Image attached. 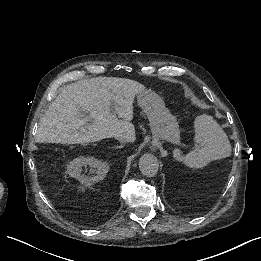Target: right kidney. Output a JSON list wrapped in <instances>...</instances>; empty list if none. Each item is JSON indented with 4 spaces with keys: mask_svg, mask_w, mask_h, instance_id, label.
I'll return each mask as SVG.
<instances>
[{
    "mask_svg": "<svg viewBox=\"0 0 261 261\" xmlns=\"http://www.w3.org/2000/svg\"><path fill=\"white\" fill-rule=\"evenodd\" d=\"M87 165L95 169V176L89 177L81 174L82 167ZM108 171V163L102 162L94 157H78L72 160L67 166V173L85 186H91L103 180Z\"/></svg>",
    "mask_w": 261,
    "mask_h": 261,
    "instance_id": "right-kidney-1",
    "label": "right kidney"
}]
</instances>
